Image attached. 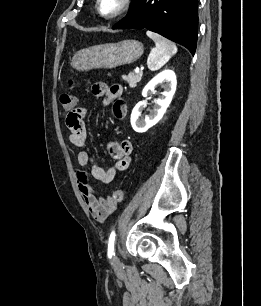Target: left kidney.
Here are the masks:
<instances>
[{"label":"left kidney","mask_w":261,"mask_h":306,"mask_svg":"<svg viewBox=\"0 0 261 306\" xmlns=\"http://www.w3.org/2000/svg\"><path fill=\"white\" fill-rule=\"evenodd\" d=\"M158 85L164 88V92L161 93L159 99L155 100L156 106L153 108L150 115L145 118L141 117V112L144 108L143 101L136 104L132 111L131 125L134 131L138 133L146 132L149 128L157 124L165 114L176 91L177 80L174 71L169 69L164 70L149 81L143 89V97L152 93Z\"/></svg>","instance_id":"left-kidney-1"}]
</instances>
